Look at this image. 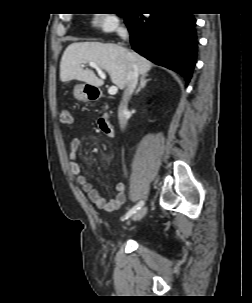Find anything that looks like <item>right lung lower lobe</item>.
Wrapping results in <instances>:
<instances>
[{"label":"right lung lower lobe","instance_id":"right-lung-lower-lobe-1","mask_svg":"<svg viewBox=\"0 0 252 303\" xmlns=\"http://www.w3.org/2000/svg\"><path fill=\"white\" fill-rule=\"evenodd\" d=\"M124 19L136 52L180 73L189 83L197 55L196 20L192 14H127Z\"/></svg>","mask_w":252,"mask_h":303}]
</instances>
